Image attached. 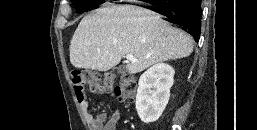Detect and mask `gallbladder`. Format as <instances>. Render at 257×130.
I'll return each mask as SVG.
<instances>
[{
	"label": "gallbladder",
	"mask_w": 257,
	"mask_h": 130,
	"mask_svg": "<svg viewBox=\"0 0 257 130\" xmlns=\"http://www.w3.org/2000/svg\"><path fill=\"white\" fill-rule=\"evenodd\" d=\"M118 73L122 74L125 72V67L123 66H120L118 69H117Z\"/></svg>",
	"instance_id": "gallbladder-1"
}]
</instances>
